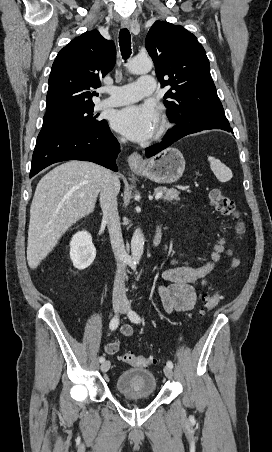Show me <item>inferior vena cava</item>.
<instances>
[{"label":"inferior vena cava","instance_id":"602c4592","mask_svg":"<svg viewBox=\"0 0 272 452\" xmlns=\"http://www.w3.org/2000/svg\"><path fill=\"white\" fill-rule=\"evenodd\" d=\"M121 141L125 142L124 139H121ZM118 193V177L110 173L100 192V205L103 212V219L107 222L110 242L117 264L113 299L125 300L124 275L128 256L124 247L120 218L117 210Z\"/></svg>","mask_w":272,"mask_h":452}]
</instances>
